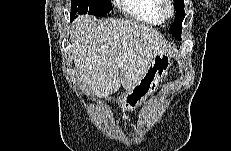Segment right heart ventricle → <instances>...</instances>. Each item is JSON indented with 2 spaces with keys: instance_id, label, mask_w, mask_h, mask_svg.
Segmentation results:
<instances>
[{
  "instance_id": "1",
  "label": "right heart ventricle",
  "mask_w": 231,
  "mask_h": 151,
  "mask_svg": "<svg viewBox=\"0 0 231 151\" xmlns=\"http://www.w3.org/2000/svg\"><path fill=\"white\" fill-rule=\"evenodd\" d=\"M121 6L129 17V23L159 25L164 21L160 11L161 0H125Z\"/></svg>"
}]
</instances>
